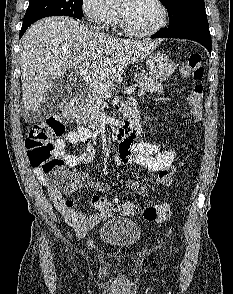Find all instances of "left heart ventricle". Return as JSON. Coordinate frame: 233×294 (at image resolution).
<instances>
[{"instance_id": "obj_1", "label": "left heart ventricle", "mask_w": 233, "mask_h": 294, "mask_svg": "<svg viewBox=\"0 0 233 294\" xmlns=\"http://www.w3.org/2000/svg\"><path fill=\"white\" fill-rule=\"evenodd\" d=\"M118 10L133 29L140 31L152 29L161 18L160 9L152 0H123Z\"/></svg>"}]
</instances>
